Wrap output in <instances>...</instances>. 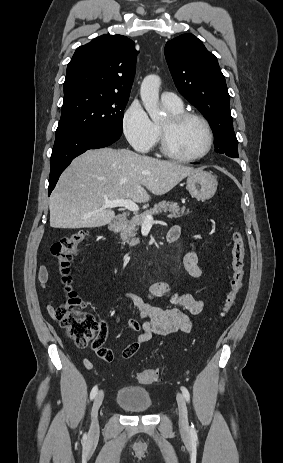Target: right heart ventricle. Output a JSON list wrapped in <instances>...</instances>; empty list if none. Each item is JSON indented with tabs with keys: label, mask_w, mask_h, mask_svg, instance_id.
<instances>
[{
	"label": "right heart ventricle",
	"mask_w": 283,
	"mask_h": 463,
	"mask_svg": "<svg viewBox=\"0 0 283 463\" xmlns=\"http://www.w3.org/2000/svg\"><path fill=\"white\" fill-rule=\"evenodd\" d=\"M164 106L170 114L180 113L183 111V105L180 107H170L164 104Z\"/></svg>",
	"instance_id": "right-heart-ventricle-1"
}]
</instances>
